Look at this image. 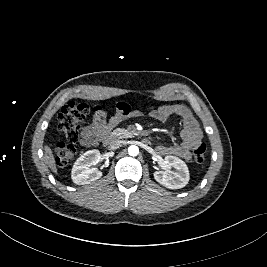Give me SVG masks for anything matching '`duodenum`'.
<instances>
[{"label": "duodenum", "mask_w": 267, "mask_h": 267, "mask_svg": "<svg viewBox=\"0 0 267 267\" xmlns=\"http://www.w3.org/2000/svg\"><path fill=\"white\" fill-rule=\"evenodd\" d=\"M116 140V138L114 137V136H107V137H105V139H104V144L105 145H110V144H112L114 141ZM143 142L145 143V144H147L148 143V139H144L143 140Z\"/></svg>", "instance_id": "duodenum-1"}]
</instances>
